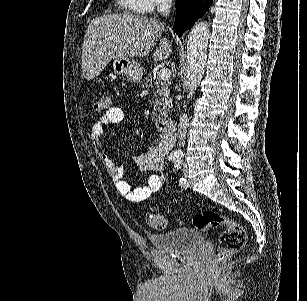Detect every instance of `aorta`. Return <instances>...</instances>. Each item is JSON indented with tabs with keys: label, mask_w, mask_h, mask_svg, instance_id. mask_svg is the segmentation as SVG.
Listing matches in <instances>:
<instances>
[{
	"label": "aorta",
	"mask_w": 307,
	"mask_h": 301,
	"mask_svg": "<svg viewBox=\"0 0 307 301\" xmlns=\"http://www.w3.org/2000/svg\"><path fill=\"white\" fill-rule=\"evenodd\" d=\"M208 22H196L187 40L186 84L189 92L197 90L204 74L209 38Z\"/></svg>",
	"instance_id": "762f6f07"
}]
</instances>
